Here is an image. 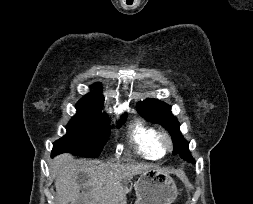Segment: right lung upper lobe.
Returning a JSON list of instances; mask_svg holds the SVG:
<instances>
[{
	"instance_id": "right-lung-upper-lobe-1",
	"label": "right lung upper lobe",
	"mask_w": 253,
	"mask_h": 204,
	"mask_svg": "<svg viewBox=\"0 0 253 204\" xmlns=\"http://www.w3.org/2000/svg\"><path fill=\"white\" fill-rule=\"evenodd\" d=\"M91 88L95 89V91L87 94L78 103L85 105V106L102 109L103 108V102H102L103 96L101 95V85L98 83V84H95L94 86H92Z\"/></svg>"
}]
</instances>
